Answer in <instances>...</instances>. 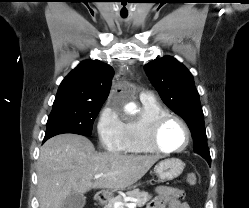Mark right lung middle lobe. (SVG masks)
Wrapping results in <instances>:
<instances>
[{
    "mask_svg": "<svg viewBox=\"0 0 249 208\" xmlns=\"http://www.w3.org/2000/svg\"><path fill=\"white\" fill-rule=\"evenodd\" d=\"M103 103H68L53 106L45 136L74 133L90 136Z\"/></svg>",
    "mask_w": 249,
    "mask_h": 208,
    "instance_id": "obj_1",
    "label": "right lung middle lobe"
}]
</instances>
